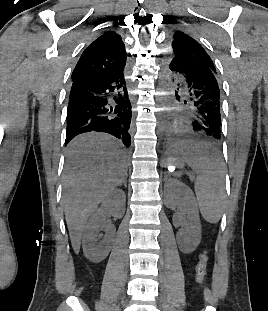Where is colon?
Segmentation results:
<instances>
[{"instance_id":"colon-1","label":"colon","mask_w":268,"mask_h":311,"mask_svg":"<svg viewBox=\"0 0 268 311\" xmlns=\"http://www.w3.org/2000/svg\"><path fill=\"white\" fill-rule=\"evenodd\" d=\"M208 265V255L206 252H202L199 256V261L196 266V281L198 284H202L205 280Z\"/></svg>"}]
</instances>
